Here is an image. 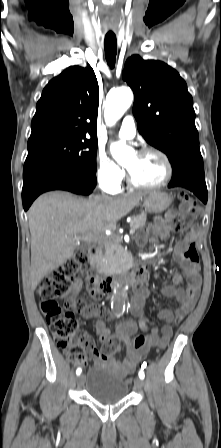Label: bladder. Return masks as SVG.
I'll use <instances>...</instances> for the list:
<instances>
[{
  "label": "bladder",
  "instance_id": "1",
  "mask_svg": "<svg viewBox=\"0 0 221 448\" xmlns=\"http://www.w3.org/2000/svg\"><path fill=\"white\" fill-rule=\"evenodd\" d=\"M82 385L93 400L105 405L124 400L129 392L125 379L103 367H93L83 374Z\"/></svg>",
  "mask_w": 221,
  "mask_h": 448
}]
</instances>
